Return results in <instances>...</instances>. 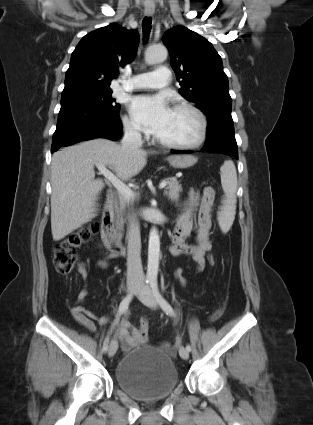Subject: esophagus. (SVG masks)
Segmentation results:
<instances>
[{"label":"esophagus","instance_id":"34e87169","mask_svg":"<svg viewBox=\"0 0 313 425\" xmlns=\"http://www.w3.org/2000/svg\"><path fill=\"white\" fill-rule=\"evenodd\" d=\"M144 13L146 16H151L154 13V7H145Z\"/></svg>","mask_w":313,"mask_h":425}]
</instances>
